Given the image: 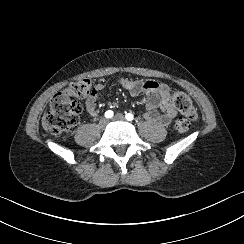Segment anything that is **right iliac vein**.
<instances>
[{
	"mask_svg": "<svg viewBox=\"0 0 244 244\" xmlns=\"http://www.w3.org/2000/svg\"><path fill=\"white\" fill-rule=\"evenodd\" d=\"M108 122H109L108 119L102 118L99 122V125H100V127L105 128L107 126Z\"/></svg>",
	"mask_w": 244,
	"mask_h": 244,
	"instance_id": "obj_1",
	"label": "right iliac vein"
}]
</instances>
